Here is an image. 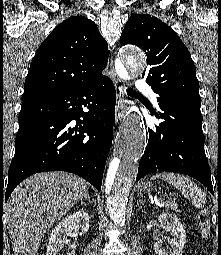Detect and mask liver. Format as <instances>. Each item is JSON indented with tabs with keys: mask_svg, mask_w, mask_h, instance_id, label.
I'll use <instances>...</instances> for the list:
<instances>
[{
	"mask_svg": "<svg viewBox=\"0 0 221 255\" xmlns=\"http://www.w3.org/2000/svg\"><path fill=\"white\" fill-rule=\"evenodd\" d=\"M84 179L66 172H45L24 180L5 204L14 255H37L40 242L86 191Z\"/></svg>",
	"mask_w": 221,
	"mask_h": 255,
	"instance_id": "1",
	"label": "liver"
}]
</instances>
